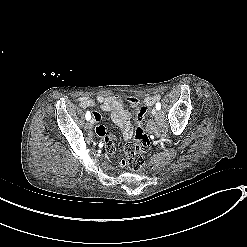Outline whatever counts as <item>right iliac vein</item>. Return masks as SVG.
Masks as SVG:
<instances>
[{
    "instance_id": "1",
    "label": "right iliac vein",
    "mask_w": 247,
    "mask_h": 247,
    "mask_svg": "<svg viewBox=\"0 0 247 247\" xmlns=\"http://www.w3.org/2000/svg\"><path fill=\"white\" fill-rule=\"evenodd\" d=\"M90 123L93 124V123H94V120L92 119V120L90 121Z\"/></svg>"
}]
</instances>
